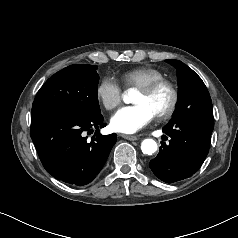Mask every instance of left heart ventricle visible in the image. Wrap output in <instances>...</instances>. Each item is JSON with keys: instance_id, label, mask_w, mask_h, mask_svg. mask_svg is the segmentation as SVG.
Instances as JSON below:
<instances>
[{"instance_id": "1", "label": "left heart ventricle", "mask_w": 238, "mask_h": 238, "mask_svg": "<svg viewBox=\"0 0 238 238\" xmlns=\"http://www.w3.org/2000/svg\"><path fill=\"white\" fill-rule=\"evenodd\" d=\"M171 100L170 92L167 88L162 87L158 89L151 95L145 94L141 91H138L134 103L140 104L145 103L147 104L156 114L165 110Z\"/></svg>"}]
</instances>
